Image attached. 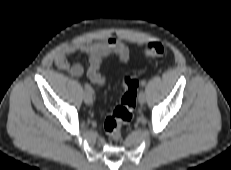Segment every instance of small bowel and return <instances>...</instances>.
<instances>
[{
    "instance_id": "c3829d8e",
    "label": "small bowel",
    "mask_w": 231,
    "mask_h": 170,
    "mask_svg": "<svg viewBox=\"0 0 231 170\" xmlns=\"http://www.w3.org/2000/svg\"><path fill=\"white\" fill-rule=\"evenodd\" d=\"M75 53H82L88 57L89 65L86 74L89 80L97 87H102L106 83V77L99 72L104 58L115 54L121 63H127L130 58L128 46L116 38H108L100 42H77L65 45L56 53L54 62L59 69L68 71L75 77H80L84 74V68L81 64H71L68 61V56Z\"/></svg>"
}]
</instances>
